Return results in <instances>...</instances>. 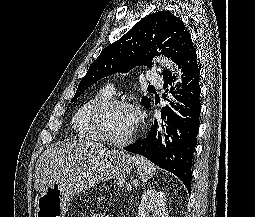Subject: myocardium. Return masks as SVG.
<instances>
[{
  "instance_id": "obj_1",
  "label": "myocardium",
  "mask_w": 255,
  "mask_h": 217,
  "mask_svg": "<svg viewBox=\"0 0 255 217\" xmlns=\"http://www.w3.org/2000/svg\"><path fill=\"white\" fill-rule=\"evenodd\" d=\"M117 107L129 108L136 115L135 108L133 107V105L130 102L123 100V99L110 98V99L104 101L103 103H101L99 106H97L93 110V112L91 114V122H92V126H93L95 132L97 133V135L99 136V138L102 141H104L105 143L110 144V145L124 146V145L131 143L136 138V136L139 132V128H140V120L136 116V126L133 129V131L125 138L115 139V138L110 137L106 131V128H105V118L109 111H111L112 109L117 108Z\"/></svg>"
}]
</instances>
